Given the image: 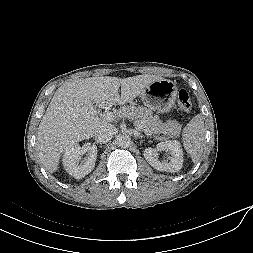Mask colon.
<instances>
[{
  "label": "colon",
  "mask_w": 253,
  "mask_h": 253,
  "mask_svg": "<svg viewBox=\"0 0 253 253\" xmlns=\"http://www.w3.org/2000/svg\"><path fill=\"white\" fill-rule=\"evenodd\" d=\"M177 101L181 109L185 112H190L192 109V103L189 94L186 90L181 89L177 94Z\"/></svg>",
  "instance_id": "5ec220e1"
}]
</instances>
